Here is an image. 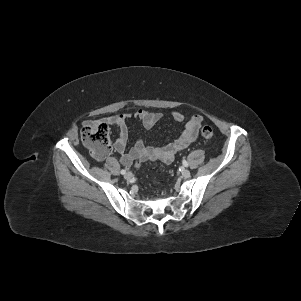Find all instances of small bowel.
I'll return each mask as SVG.
<instances>
[{
    "instance_id": "small-bowel-1",
    "label": "small bowel",
    "mask_w": 301,
    "mask_h": 301,
    "mask_svg": "<svg viewBox=\"0 0 301 301\" xmlns=\"http://www.w3.org/2000/svg\"><path fill=\"white\" fill-rule=\"evenodd\" d=\"M128 117L127 114H117L105 119L107 124L115 126L118 130V138L114 143V150L119 154L121 164L126 167L131 166L135 160H158L164 163L172 162L179 152L188 148L195 141L198 129L203 121L201 115L196 114L191 116L186 121L180 136L167 145H145L144 142L139 139L128 149ZM135 117L144 129L149 130L161 119L162 114L139 109L135 113ZM172 117L176 122L185 121V115L179 111H174ZM98 159L101 160L103 158Z\"/></svg>"
}]
</instances>
